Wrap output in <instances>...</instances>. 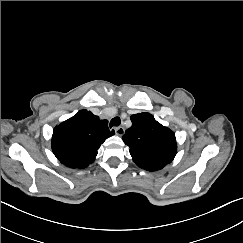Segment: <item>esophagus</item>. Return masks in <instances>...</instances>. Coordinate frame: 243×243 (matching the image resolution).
I'll use <instances>...</instances> for the list:
<instances>
[{"label": "esophagus", "instance_id": "esophagus-1", "mask_svg": "<svg viewBox=\"0 0 243 243\" xmlns=\"http://www.w3.org/2000/svg\"><path fill=\"white\" fill-rule=\"evenodd\" d=\"M114 131H115L116 135H118V136H122L125 132V130L122 126L114 127Z\"/></svg>", "mask_w": 243, "mask_h": 243}]
</instances>
